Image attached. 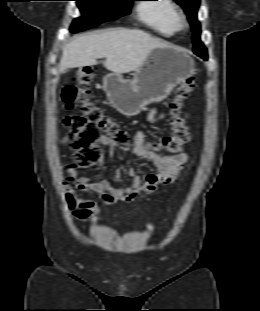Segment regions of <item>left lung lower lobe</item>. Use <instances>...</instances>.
I'll return each instance as SVG.
<instances>
[{
    "label": "left lung lower lobe",
    "mask_w": 260,
    "mask_h": 311,
    "mask_svg": "<svg viewBox=\"0 0 260 311\" xmlns=\"http://www.w3.org/2000/svg\"><path fill=\"white\" fill-rule=\"evenodd\" d=\"M194 53L197 54L198 56H200L201 58H203L204 60H207L206 54H201V53H196V52H194Z\"/></svg>",
    "instance_id": "0a47b994"
}]
</instances>
